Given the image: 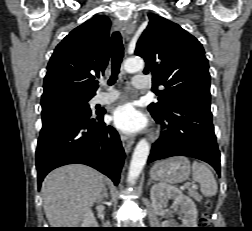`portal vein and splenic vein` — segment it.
I'll list each match as a JSON object with an SVG mask.
<instances>
[{
    "label": "portal vein and splenic vein",
    "instance_id": "portal-vein-and-splenic-vein-1",
    "mask_svg": "<svg viewBox=\"0 0 252 231\" xmlns=\"http://www.w3.org/2000/svg\"><path fill=\"white\" fill-rule=\"evenodd\" d=\"M188 188H189V184H185V185H183V186L181 187V190H187ZM192 188H193V189H197V188H198V185L193 184V185H192Z\"/></svg>",
    "mask_w": 252,
    "mask_h": 231
}]
</instances>
